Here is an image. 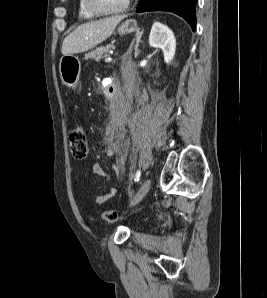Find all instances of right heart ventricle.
Returning a JSON list of instances; mask_svg holds the SVG:
<instances>
[{"label": "right heart ventricle", "mask_w": 267, "mask_h": 298, "mask_svg": "<svg viewBox=\"0 0 267 298\" xmlns=\"http://www.w3.org/2000/svg\"><path fill=\"white\" fill-rule=\"evenodd\" d=\"M78 15L84 20H93L97 17L86 8L85 0L78 1Z\"/></svg>", "instance_id": "obj_1"}]
</instances>
